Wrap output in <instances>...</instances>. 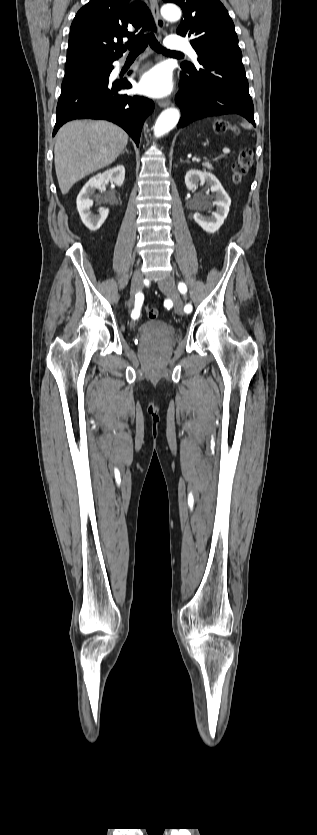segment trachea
<instances>
[{
	"label": "trachea",
	"instance_id": "3493384b",
	"mask_svg": "<svg viewBox=\"0 0 317 835\" xmlns=\"http://www.w3.org/2000/svg\"><path fill=\"white\" fill-rule=\"evenodd\" d=\"M148 44L150 45V47L154 51H156L158 53H163V54H167V55H181L182 54L180 52L167 50L166 48H164L157 41V39H156V37L153 33H148L146 35H143L135 43H132L131 45L128 46V50L130 51L129 56H137V55L141 54L146 49Z\"/></svg>",
	"mask_w": 317,
	"mask_h": 835
}]
</instances>
